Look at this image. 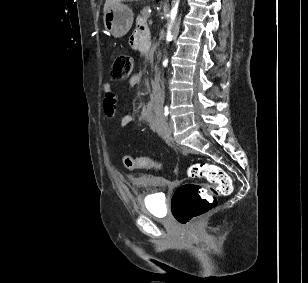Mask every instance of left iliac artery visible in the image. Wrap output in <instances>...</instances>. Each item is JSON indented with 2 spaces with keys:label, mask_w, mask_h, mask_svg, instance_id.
<instances>
[{
  "label": "left iliac artery",
  "mask_w": 308,
  "mask_h": 283,
  "mask_svg": "<svg viewBox=\"0 0 308 283\" xmlns=\"http://www.w3.org/2000/svg\"><path fill=\"white\" fill-rule=\"evenodd\" d=\"M165 117L168 115V110L167 108H165V113H164Z\"/></svg>",
  "instance_id": "left-iliac-artery-1"
}]
</instances>
